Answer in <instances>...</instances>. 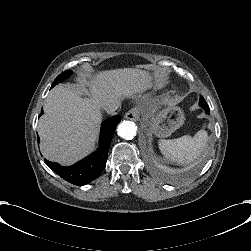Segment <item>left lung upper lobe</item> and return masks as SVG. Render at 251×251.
<instances>
[{"mask_svg":"<svg viewBox=\"0 0 251 251\" xmlns=\"http://www.w3.org/2000/svg\"><path fill=\"white\" fill-rule=\"evenodd\" d=\"M199 105H200L201 107H208L206 101L204 100V98H203L202 96L200 97Z\"/></svg>","mask_w":251,"mask_h":251,"instance_id":"1","label":"left lung upper lobe"}]
</instances>
